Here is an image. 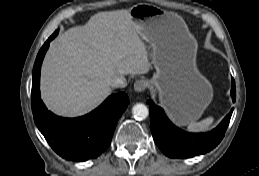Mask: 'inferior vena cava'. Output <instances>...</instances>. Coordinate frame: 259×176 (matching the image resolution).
Wrapping results in <instances>:
<instances>
[{
  "instance_id": "inferior-vena-cava-1",
  "label": "inferior vena cava",
  "mask_w": 259,
  "mask_h": 176,
  "mask_svg": "<svg viewBox=\"0 0 259 176\" xmlns=\"http://www.w3.org/2000/svg\"><path fill=\"white\" fill-rule=\"evenodd\" d=\"M110 85L114 88H124L127 85V81L124 76H118L111 80Z\"/></svg>"
}]
</instances>
